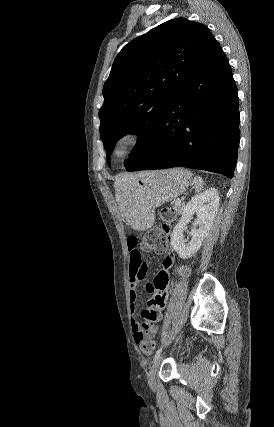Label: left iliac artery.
I'll use <instances>...</instances> for the list:
<instances>
[{"instance_id":"obj_1","label":"left iliac artery","mask_w":274,"mask_h":427,"mask_svg":"<svg viewBox=\"0 0 274 427\" xmlns=\"http://www.w3.org/2000/svg\"><path fill=\"white\" fill-rule=\"evenodd\" d=\"M161 352H162V347H160V348L156 351L153 362H155V361L159 358V356H160Z\"/></svg>"}]
</instances>
